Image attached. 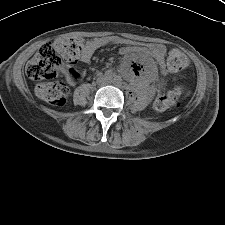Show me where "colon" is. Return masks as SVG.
Wrapping results in <instances>:
<instances>
[{
    "label": "colon",
    "instance_id": "5ec220e1",
    "mask_svg": "<svg viewBox=\"0 0 225 225\" xmlns=\"http://www.w3.org/2000/svg\"><path fill=\"white\" fill-rule=\"evenodd\" d=\"M82 47V39L79 37H60L54 42L41 46L34 57L26 66V75L38 82L37 95L53 106L65 104L69 95V88L62 80L56 79L65 65H72L78 60ZM188 64V58L184 52L174 49L167 56V70L171 73L180 72ZM70 79L80 81L78 72L70 70ZM186 95L182 87H175L171 91L160 94L155 98L154 107L158 111H168L180 105Z\"/></svg>",
    "mask_w": 225,
    "mask_h": 225
}]
</instances>
